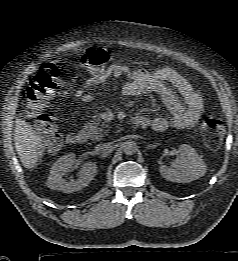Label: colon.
Here are the masks:
<instances>
[{
	"label": "colon",
	"mask_w": 238,
	"mask_h": 261,
	"mask_svg": "<svg viewBox=\"0 0 238 261\" xmlns=\"http://www.w3.org/2000/svg\"><path fill=\"white\" fill-rule=\"evenodd\" d=\"M111 60L112 53L105 47L87 49L81 55L83 66L93 76L103 75ZM59 75L58 67L47 63L32 77L26 90L27 112L34 118L37 130L47 137V146L51 150L60 147L61 139L54 118L45 110L57 90ZM201 133L205 145L215 150L223 139L225 124L218 117L206 116L201 124Z\"/></svg>",
	"instance_id": "obj_1"
}]
</instances>
